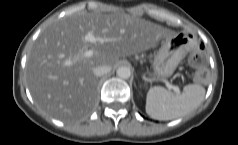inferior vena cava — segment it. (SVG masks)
Wrapping results in <instances>:
<instances>
[{"label":"inferior vena cava","instance_id":"602c4592","mask_svg":"<svg viewBox=\"0 0 238 145\" xmlns=\"http://www.w3.org/2000/svg\"><path fill=\"white\" fill-rule=\"evenodd\" d=\"M111 71V67L107 65L97 66L93 69V73L97 77H101Z\"/></svg>","mask_w":238,"mask_h":145}]
</instances>
